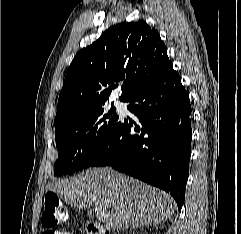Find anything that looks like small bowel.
<instances>
[{
  "label": "small bowel",
  "instance_id": "c3829d8e",
  "mask_svg": "<svg viewBox=\"0 0 241 234\" xmlns=\"http://www.w3.org/2000/svg\"><path fill=\"white\" fill-rule=\"evenodd\" d=\"M43 234H69L65 231H52V230H46L43 232Z\"/></svg>",
  "mask_w": 241,
  "mask_h": 234
}]
</instances>
